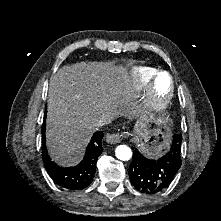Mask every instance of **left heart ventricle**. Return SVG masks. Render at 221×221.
Here are the masks:
<instances>
[{
	"label": "left heart ventricle",
	"instance_id": "1",
	"mask_svg": "<svg viewBox=\"0 0 221 221\" xmlns=\"http://www.w3.org/2000/svg\"><path fill=\"white\" fill-rule=\"evenodd\" d=\"M156 88L162 95L169 91V79L165 74L160 75L156 80Z\"/></svg>",
	"mask_w": 221,
	"mask_h": 221
}]
</instances>
